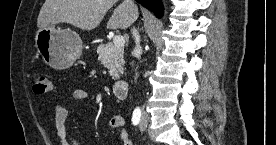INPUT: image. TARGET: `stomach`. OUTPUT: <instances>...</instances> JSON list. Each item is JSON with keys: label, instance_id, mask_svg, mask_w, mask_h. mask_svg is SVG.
<instances>
[{"label": "stomach", "instance_id": "1", "mask_svg": "<svg viewBox=\"0 0 276 145\" xmlns=\"http://www.w3.org/2000/svg\"><path fill=\"white\" fill-rule=\"evenodd\" d=\"M35 42L45 63L57 70L68 69L82 55V40L71 29L54 26L39 29Z\"/></svg>", "mask_w": 276, "mask_h": 145}]
</instances>
